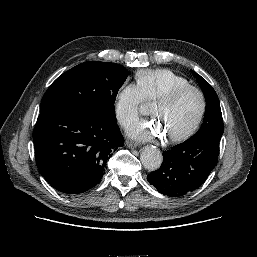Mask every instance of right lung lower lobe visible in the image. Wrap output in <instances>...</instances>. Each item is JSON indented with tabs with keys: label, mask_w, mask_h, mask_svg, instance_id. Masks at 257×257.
Wrapping results in <instances>:
<instances>
[{
	"label": "right lung lower lobe",
	"mask_w": 257,
	"mask_h": 257,
	"mask_svg": "<svg viewBox=\"0 0 257 257\" xmlns=\"http://www.w3.org/2000/svg\"><path fill=\"white\" fill-rule=\"evenodd\" d=\"M33 141L40 173L51 186L68 194L96 186L108 159L124 144L116 117L75 106L41 112Z\"/></svg>",
	"instance_id": "1"
}]
</instances>
